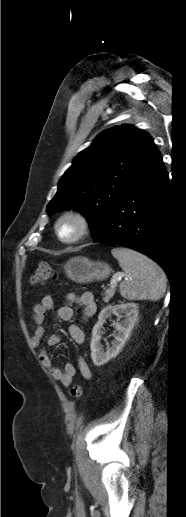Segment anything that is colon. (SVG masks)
<instances>
[{
  "label": "colon",
  "mask_w": 186,
  "mask_h": 517,
  "mask_svg": "<svg viewBox=\"0 0 186 517\" xmlns=\"http://www.w3.org/2000/svg\"><path fill=\"white\" fill-rule=\"evenodd\" d=\"M56 271L47 263H42L35 270L34 274L31 277V282L35 285H39L44 283L49 279L56 278ZM83 394L82 386L79 383H75L72 385L70 389V395L74 399H80Z\"/></svg>",
  "instance_id": "1"
}]
</instances>
